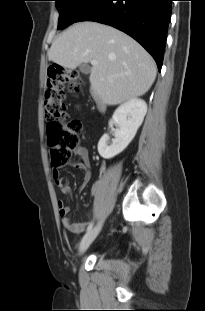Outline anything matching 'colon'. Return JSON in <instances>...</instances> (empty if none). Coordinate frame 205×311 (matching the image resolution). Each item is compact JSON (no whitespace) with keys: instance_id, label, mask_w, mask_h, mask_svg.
<instances>
[{"instance_id":"obj_1","label":"colon","mask_w":205,"mask_h":311,"mask_svg":"<svg viewBox=\"0 0 205 311\" xmlns=\"http://www.w3.org/2000/svg\"><path fill=\"white\" fill-rule=\"evenodd\" d=\"M66 83L73 91L78 90L81 84L70 71L59 66L48 68L43 106L47 141L51 148V165L54 168L68 163L73 151L79 146L82 132L80 120H67L65 92L62 89Z\"/></svg>"}]
</instances>
